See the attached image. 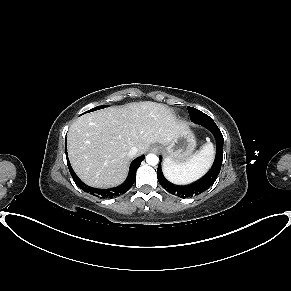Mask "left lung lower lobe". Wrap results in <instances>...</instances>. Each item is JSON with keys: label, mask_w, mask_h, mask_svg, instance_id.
Wrapping results in <instances>:
<instances>
[{"label": "left lung lower lobe", "mask_w": 291, "mask_h": 291, "mask_svg": "<svg viewBox=\"0 0 291 291\" xmlns=\"http://www.w3.org/2000/svg\"><path fill=\"white\" fill-rule=\"evenodd\" d=\"M191 121H193L196 124L206 127L213 133L216 139L217 150H216L215 161L210 171L198 181L187 186H176L170 183L168 180H166L161 170L162 157L159 158L160 163L158 165L157 177H158V181L160 185L167 192L171 194H175V192H177L179 194L178 196L183 197V198L192 197V196L201 194L202 192L207 190L210 186H212L220 172V169L222 166V160H223V136H222L221 131L215 124L214 120L208 115H206L205 113L199 111L193 116V120Z\"/></svg>", "instance_id": "0a47b994"}]
</instances>
